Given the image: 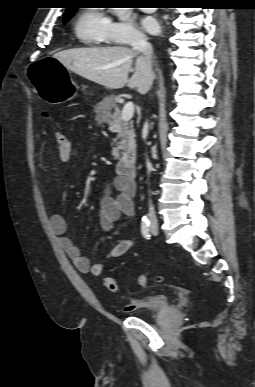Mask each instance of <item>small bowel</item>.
Listing matches in <instances>:
<instances>
[{
	"instance_id": "1",
	"label": "small bowel",
	"mask_w": 255,
	"mask_h": 387,
	"mask_svg": "<svg viewBox=\"0 0 255 387\" xmlns=\"http://www.w3.org/2000/svg\"><path fill=\"white\" fill-rule=\"evenodd\" d=\"M78 154L79 148L72 144V149L69 154L59 156L62 161H69L76 158ZM133 194V184L118 177L113 180L111 186H108L104 190L99 202L100 224L104 231L111 232L115 223L122 215L134 216ZM50 226L74 267L82 273H91L93 275L101 274L103 261L121 257L134 246V240L132 239L119 240L103 253V261L91 263L87 257L81 254L79 248L71 239L66 236L67 222L61 214L54 213L51 215ZM137 304L138 300H131L126 309L128 311L134 310Z\"/></svg>"
}]
</instances>
